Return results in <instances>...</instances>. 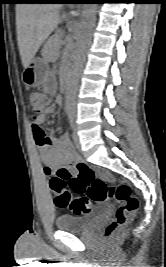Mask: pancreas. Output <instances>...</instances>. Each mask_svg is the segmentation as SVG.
<instances>
[{"label":"pancreas","mask_w":166,"mask_h":267,"mask_svg":"<svg viewBox=\"0 0 166 267\" xmlns=\"http://www.w3.org/2000/svg\"><path fill=\"white\" fill-rule=\"evenodd\" d=\"M60 44V35H53L52 37H50L42 50L43 59L47 62L56 60L59 56Z\"/></svg>","instance_id":"cf45deb5"}]
</instances>
